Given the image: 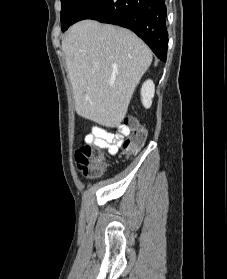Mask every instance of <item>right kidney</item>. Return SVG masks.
Returning a JSON list of instances; mask_svg holds the SVG:
<instances>
[{"mask_svg": "<svg viewBox=\"0 0 227 279\" xmlns=\"http://www.w3.org/2000/svg\"><path fill=\"white\" fill-rule=\"evenodd\" d=\"M155 85L152 80H147L143 83L141 88V101L145 108H150L152 98L154 97Z\"/></svg>", "mask_w": 227, "mask_h": 279, "instance_id": "ca27d5eb", "label": "right kidney"}]
</instances>
